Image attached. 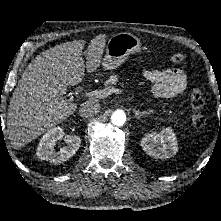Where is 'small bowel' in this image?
I'll use <instances>...</instances> for the list:
<instances>
[{
	"instance_id": "c3829d8e",
	"label": "small bowel",
	"mask_w": 221,
	"mask_h": 221,
	"mask_svg": "<svg viewBox=\"0 0 221 221\" xmlns=\"http://www.w3.org/2000/svg\"><path fill=\"white\" fill-rule=\"evenodd\" d=\"M142 75L153 83L151 93L156 98H173L182 95L187 87V77L179 69H145Z\"/></svg>"
}]
</instances>
